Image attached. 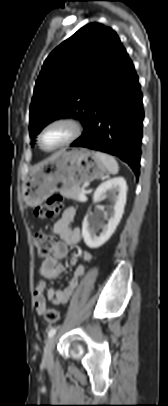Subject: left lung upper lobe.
<instances>
[{
    "label": "left lung upper lobe",
    "instance_id": "5c2ea615",
    "mask_svg": "<svg viewBox=\"0 0 168 406\" xmlns=\"http://www.w3.org/2000/svg\"><path fill=\"white\" fill-rule=\"evenodd\" d=\"M124 50L115 31L96 22L85 25L54 49L36 81L30 106L31 138L61 117L79 118L86 126Z\"/></svg>",
    "mask_w": 168,
    "mask_h": 406
}]
</instances>
